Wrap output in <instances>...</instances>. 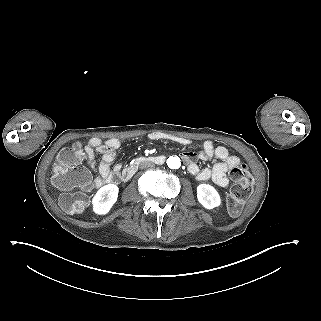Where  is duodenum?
<instances>
[{"instance_id": "duodenum-1", "label": "duodenum", "mask_w": 321, "mask_h": 321, "mask_svg": "<svg viewBox=\"0 0 321 321\" xmlns=\"http://www.w3.org/2000/svg\"><path fill=\"white\" fill-rule=\"evenodd\" d=\"M165 161L164 156H140L133 160L121 174V178L124 181H128L135 174L140 164L144 162H150L154 164H163Z\"/></svg>"}]
</instances>
